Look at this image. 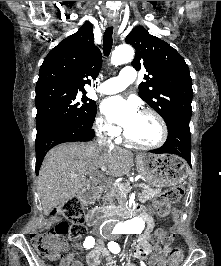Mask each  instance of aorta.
Returning <instances> with one entry per match:
<instances>
[{
  "mask_svg": "<svg viewBox=\"0 0 221 266\" xmlns=\"http://www.w3.org/2000/svg\"><path fill=\"white\" fill-rule=\"evenodd\" d=\"M134 57V50L130 45H120L115 48L112 53L111 62L118 66L127 62H131ZM144 229V222L141 218L135 217L119 223L115 227H109L110 231H115L124 234H139Z\"/></svg>",
  "mask_w": 221,
  "mask_h": 266,
  "instance_id": "1",
  "label": "aorta"
}]
</instances>
